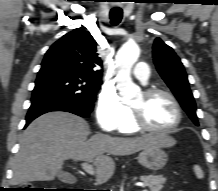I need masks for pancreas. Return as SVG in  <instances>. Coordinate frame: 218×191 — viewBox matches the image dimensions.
I'll list each match as a JSON object with an SVG mask.
<instances>
[{
    "label": "pancreas",
    "instance_id": "cf45deb5",
    "mask_svg": "<svg viewBox=\"0 0 218 191\" xmlns=\"http://www.w3.org/2000/svg\"><path fill=\"white\" fill-rule=\"evenodd\" d=\"M140 180L145 186L150 188V191H160L163 188V184L166 182V178L162 175L159 176H141Z\"/></svg>",
    "mask_w": 218,
    "mask_h": 191
}]
</instances>
